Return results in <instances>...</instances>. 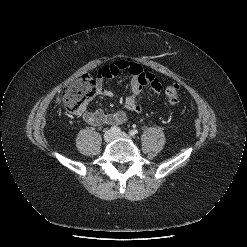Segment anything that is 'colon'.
Instances as JSON below:
<instances>
[{
	"mask_svg": "<svg viewBox=\"0 0 247 247\" xmlns=\"http://www.w3.org/2000/svg\"><path fill=\"white\" fill-rule=\"evenodd\" d=\"M96 92V83L88 75L77 78L61 91L57 97V103L66 111L79 115L82 114L89 100ZM165 94L170 104L176 105L180 100V88L177 84L165 88Z\"/></svg>",
	"mask_w": 247,
	"mask_h": 247,
	"instance_id": "1",
	"label": "colon"
}]
</instances>
